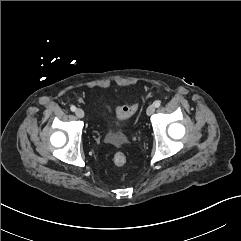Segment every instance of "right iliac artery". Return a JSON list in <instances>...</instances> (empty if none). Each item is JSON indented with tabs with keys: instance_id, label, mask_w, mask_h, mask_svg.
Instances as JSON below:
<instances>
[{
	"instance_id": "obj_1",
	"label": "right iliac artery",
	"mask_w": 241,
	"mask_h": 241,
	"mask_svg": "<svg viewBox=\"0 0 241 241\" xmlns=\"http://www.w3.org/2000/svg\"><path fill=\"white\" fill-rule=\"evenodd\" d=\"M70 109H71V111L74 112L76 110V107L75 106H71Z\"/></svg>"
}]
</instances>
